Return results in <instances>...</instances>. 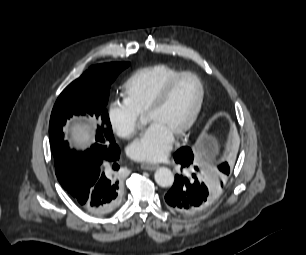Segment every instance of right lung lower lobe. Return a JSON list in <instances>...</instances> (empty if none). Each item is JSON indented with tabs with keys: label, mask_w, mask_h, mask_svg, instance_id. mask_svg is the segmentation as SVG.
I'll use <instances>...</instances> for the list:
<instances>
[{
	"label": "right lung lower lobe",
	"mask_w": 306,
	"mask_h": 255,
	"mask_svg": "<svg viewBox=\"0 0 306 255\" xmlns=\"http://www.w3.org/2000/svg\"><path fill=\"white\" fill-rule=\"evenodd\" d=\"M111 159L77 161L74 166L73 181L66 190L73 200L85 211L102 215L111 212L119 204L122 196V179L118 174L105 171L103 161H116L120 150Z\"/></svg>",
	"instance_id": "1"
}]
</instances>
